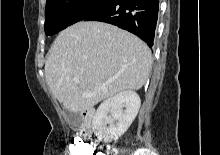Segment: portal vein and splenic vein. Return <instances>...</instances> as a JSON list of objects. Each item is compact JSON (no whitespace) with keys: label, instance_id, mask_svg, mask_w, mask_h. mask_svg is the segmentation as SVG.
<instances>
[{"label":"portal vein and splenic vein","instance_id":"18ae733b","mask_svg":"<svg viewBox=\"0 0 220 155\" xmlns=\"http://www.w3.org/2000/svg\"><path fill=\"white\" fill-rule=\"evenodd\" d=\"M74 82L78 83L79 79L78 78H74ZM83 96L89 97V96H91V94L84 93Z\"/></svg>","mask_w":220,"mask_h":155}]
</instances>
